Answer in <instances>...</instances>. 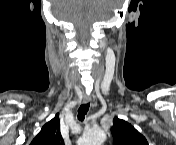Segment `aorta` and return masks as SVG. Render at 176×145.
I'll return each instance as SVG.
<instances>
[{"mask_svg":"<svg viewBox=\"0 0 176 145\" xmlns=\"http://www.w3.org/2000/svg\"><path fill=\"white\" fill-rule=\"evenodd\" d=\"M105 140V132L101 128L96 127L84 133L81 143L83 145H102Z\"/></svg>","mask_w":176,"mask_h":145,"instance_id":"762f6f07","label":"aorta"}]
</instances>
